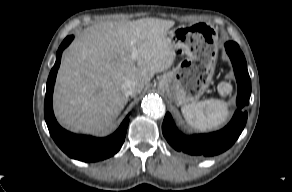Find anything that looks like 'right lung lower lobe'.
Returning <instances> with one entry per match:
<instances>
[{"label": "right lung lower lobe", "mask_w": 292, "mask_h": 192, "mask_svg": "<svg viewBox=\"0 0 292 192\" xmlns=\"http://www.w3.org/2000/svg\"><path fill=\"white\" fill-rule=\"evenodd\" d=\"M73 38L74 36H68L64 39L57 52L55 65L49 74L44 102L45 121L50 135L69 157L84 162H95L111 157L119 151L125 140L129 119L126 117L118 130L106 138L72 134L61 128L57 123L52 109L53 88L61 61V53Z\"/></svg>", "instance_id": "obj_1"}]
</instances>
